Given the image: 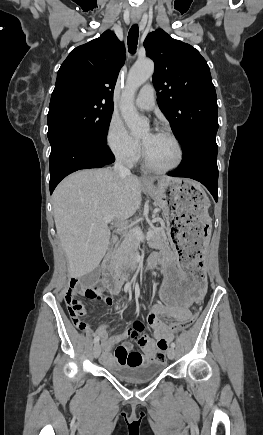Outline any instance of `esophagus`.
Segmentation results:
<instances>
[{
	"mask_svg": "<svg viewBox=\"0 0 263 435\" xmlns=\"http://www.w3.org/2000/svg\"><path fill=\"white\" fill-rule=\"evenodd\" d=\"M133 21H134V22H137L138 20H137V19H133ZM140 179H141L142 181H144V182H149V181H150L149 177H148V176H145V175H142V176L140 177Z\"/></svg>",
	"mask_w": 263,
	"mask_h": 435,
	"instance_id": "esophagus-1",
	"label": "esophagus"
}]
</instances>
